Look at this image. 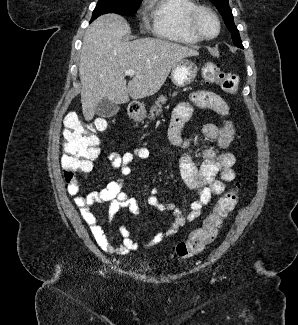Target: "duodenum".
<instances>
[{"mask_svg": "<svg viewBox=\"0 0 298 325\" xmlns=\"http://www.w3.org/2000/svg\"><path fill=\"white\" fill-rule=\"evenodd\" d=\"M130 112L132 115H135L138 112V107L137 106H132L130 109Z\"/></svg>", "mask_w": 298, "mask_h": 325, "instance_id": "410a0bca", "label": "duodenum"}]
</instances>
